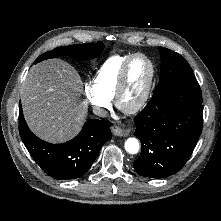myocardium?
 <instances>
[{"label":"myocardium","mask_w":221,"mask_h":221,"mask_svg":"<svg viewBox=\"0 0 221 221\" xmlns=\"http://www.w3.org/2000/svg\"><path fill=\"white\" fill-rule=\"evenodd\" d=\"M136 58H143L148 62L150 66V77H149L148 84L141 98L133 106L129 108H124L121 105V99H122L123 93L127 85L128 72H129L130 65ZM155 77H156V67H155L154 62L147 55L143 53L132 54L124 63L121 69L120 75H119L117 87H116L115 94H114V102H115L116 107L122 110L123 112H125L126 114H136L140 110H142L150 97V94L154 85Z\"/></svg>","instance_id":"1"}]
</instances>
